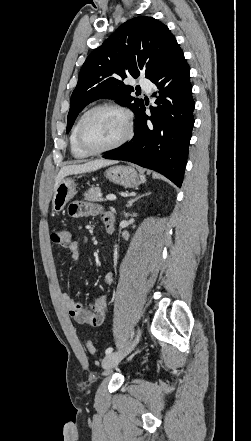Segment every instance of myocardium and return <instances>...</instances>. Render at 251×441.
Instances as JSON below:
<instances>
[{"mask_svg": "<svg viewBox=\"0 0 251 441\" xmlns=\"http://www.w3.org/2000/svg\"><path fill=\"white\" fill-rule=\"evenodd\" d=\"M100 109H112L115 111H118L119 113L122 114V116L124 117V121H125V132L123 134V136L117 140L116 142H114L113 144L100 148V149H92L90 147H88L83 140V126L85 123V120L87 119V117ZM133 135V117L131 112L117 104V103H112V102H104V103H100L97 104L93 107H91L90 109H88L79 119V123H78V127H77V132H76V140H77V144L80 147V149L82 151H84L85 153H87L88 155H99L108 151H112L114 149H117L119 147H121L122 145H124L127 141H129L131 139Z\"/></svg>", "mask_w": 251, "mask_h": 441, "instance_id": "obj_1", "label": "myocardium"}]
</instances>
